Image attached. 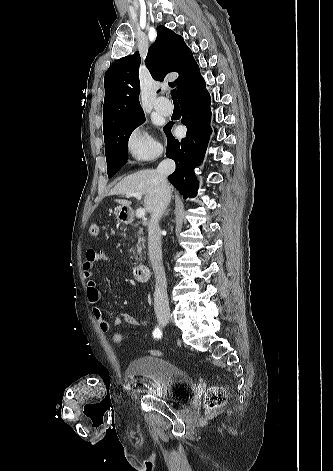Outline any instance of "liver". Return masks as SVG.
Here are the masks:
<instances>
[{
    "instance_id": "obj_1",
    "label": "liver",
    "mask_w": 333,
    "mask_h": 471,
    "mask_svg": "<svg viewBox=\"0 0 333 471\" xmlns=\"http://www.w3.org/2000/svg\"><path fill=\"white\" fill-rule=\"evenodd\" d=\"M129 192H139L145 195L144 207L147 212L152 214L154 206L159 196V182L157 171L145 169L133 173L123 178L111 191L110 195L127 194ZM123 206L130 205L127 200H118Z\"/></svg>"
}]
</instances>
